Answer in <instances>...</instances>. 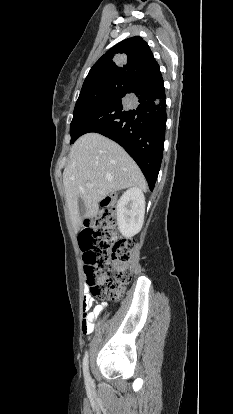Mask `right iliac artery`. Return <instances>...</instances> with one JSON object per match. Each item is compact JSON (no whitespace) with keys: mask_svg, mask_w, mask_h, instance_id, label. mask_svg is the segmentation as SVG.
<instances>
[{"mask_svg":"<svg viewBox=\"0 0 233 414\" xmlns=\"http://www.w3.org/2000/svg\"><path fill=\"white\" fill-rule=\"evenodd\" d=\"M83 374H84L85 381L87 383L91 382V377H90L89 368H88V353L87 352L83 358Z\"/></svg>","mask_w":233,"mask_h":414,"instance_id":"right-iliac-artery-1","label":"right iliac artery"}]
</instances>
